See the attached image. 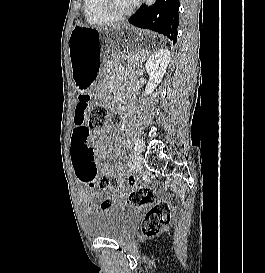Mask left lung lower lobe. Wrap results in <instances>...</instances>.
Masks as SVG:
<instances>
[{
  "label": "left lung lower lobe",
  "mask_w": 265,
  "mask_h": 273,
  "mask_svg": "<svg viewBox=\"0 0 265 273\" xmlns=\"http://www.w3.org/2000/svg\"><path fill=\"white\" fill-rule=\"evenodd\" d=\"M179 6V0H157L152 6L142 5L129 23L161 33L176 43Z\"/></svg>",
  "instance_id": "obj_1"
}]
</instances>
